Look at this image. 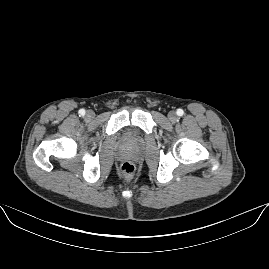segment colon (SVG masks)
Masks as SVG:
<instances>
[{
  "mask_svg": "<svg viewBox=\"0 0 269 269\" xmlns=\"http://www.w3.org/2000/svg\"><path fill=\"white\" fill-rule=\"evenodd\" d=\"M120 173L123 177H132L135 173V165L131 161H124L120 166Z\"/></svg>",
  "mask_w": 269,
  "mask_h": 269,
  "instance_id": "1",
  "label": "colon"
}]
</instances>
